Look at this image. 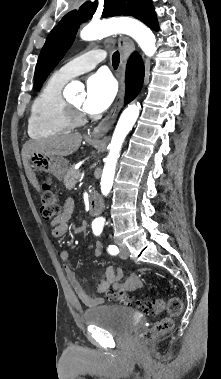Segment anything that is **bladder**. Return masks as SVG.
<instances>
[{
	"label": "bladder",
	"mask_w": 221,
	"mask_h": 379,
	"mask_svg": "<svg viewBox=\"0 0 221 379\" xmlns=\"http://www.w3.org/2000/svg\"><path fill=\"white\" fill-rule=\"evenodd\" d=\"M83 319L87 324L102 327L117 336H127L139 322L132 309L114 304L87 309L83 313Z\"/></svg>",
	"instance_id": "1"
}]
</instances>
